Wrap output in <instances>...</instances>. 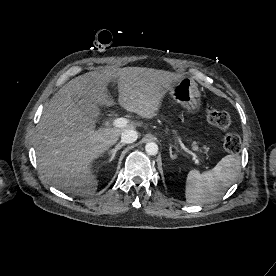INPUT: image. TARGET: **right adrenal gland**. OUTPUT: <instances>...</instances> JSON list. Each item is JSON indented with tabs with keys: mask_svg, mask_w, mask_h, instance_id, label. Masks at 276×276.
<instances>
[{
	"mask_svg": "<svg viewBox=\"0 0 276 276\" xmlns=\"http://www.w3.org/2000/svg\"><path fill=\"white\" fill-rule=\"evenodd\" d=\"M125 144L124 143H118L114 149L109 150V154L111 155L108 162L110 163L114 158L119 149H121Z\"/></svg>",
	"mask_w": 276,
	"mask_h": 276,
	"instance_id": "2a0ac1e0",
	"label": "right adrenal gland"
}]
</instances>
